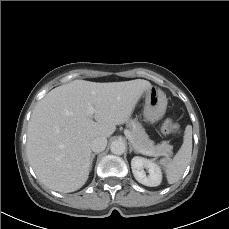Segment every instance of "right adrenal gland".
<instances>
[{
    "mask_svg": "<svg viewBox=\"0 0 229 229\" xmlns=\"http://www.w3.org/2000/svg\"><path fill=\"white\" fill-rule=\"evenodd\" d=\"M98 153H92L91 154V158H90V169H92V163H93V160L95 158V156L97 155Z\"/></svg>",
    "mask_w": 229,
    "mask_h": 229,
    "instance_id": "obj_1",
    "label": "right adrenal gland"
}]
</instances>
